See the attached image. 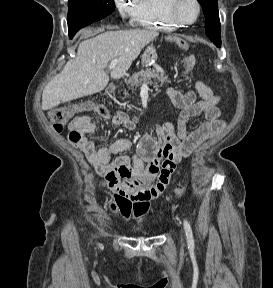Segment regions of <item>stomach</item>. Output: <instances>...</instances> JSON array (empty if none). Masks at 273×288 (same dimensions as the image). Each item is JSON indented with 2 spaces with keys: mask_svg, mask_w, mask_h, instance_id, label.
<instances>
[{
  "mask_svg": "<svg viewBox=\"0 0 273 288\" xmlns=\"http://www.w3.org/2000/svg\"><path fill=\"white\" fill-rule=\"evenodd\" d=\"M157 56L156 48L151 44L145 49L142 55L141 64L143 66H150L156 61Z\"/></svg>",
  "mask_w": 273,
  "mask_h": 288,
  "instance_id": "0dacf381",
  "label": "stomach"
}]
</instances>
